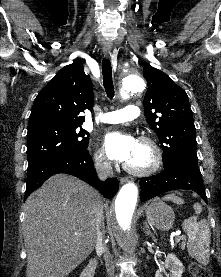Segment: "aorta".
Instances as JSON below:
<instances>
[{"label": "aorta", "mask_w": 221, "mask_h": 277, "mask_svg": "<svg viewBox=\"0 0 221 277\" xmlns=\"http://www.w3.org/2000/svg\"><path fill=\"white\" fill-rule=\"evenodd\" d=\"M145 89L143 77L130 72L121 80L120 97L127 100L134 93H140ZM138 198V188L133 182L124 184L111 204V226L114 236L120 247L133 253L137 247L135 229V208Z\"/></svg>", "instance_id": "obj_1"}]
</instances>
